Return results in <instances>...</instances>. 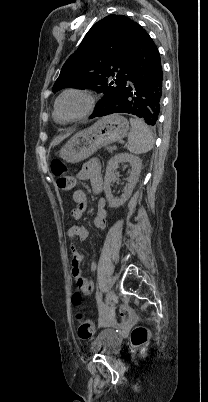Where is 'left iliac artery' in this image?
Masks as SVG:
<instances>
[{"instance_id":"left-iliac-artery-1","label":"left iliac artery","mask_w":208,"mask_h":402,"mask_svg":"<svg viewBox=\"0 0 208 402\" xmlns=\"http://www.w3.org/2000/svg\"><path fill=\"white\" fill-rule=\"evenodd\" d=\"M101 301H102V294H101V292H99V293L97 294V302H98V304H100Z\"/></svg>"}]
</instances>
